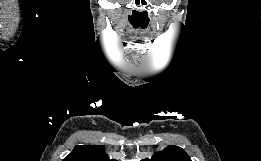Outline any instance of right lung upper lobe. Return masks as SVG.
I'll list each match as a JSON object with an SVG mask.
<instances>
[{"label": "right lung upper lobe", "instance_id": "right-lung-upper-lobe-1", "mask_svg": "<svg viewBox=\"0 0 261 161\" xmlns=\"http://www.w3.org/2000/svg\"><path fill=\"white\" fill-rule=\"evenodd\" d=\"M63 161H115L110 160L98 145H78Z\"/></svg>", "mask_w": 261, "mask_h": 161}]
</instances>
